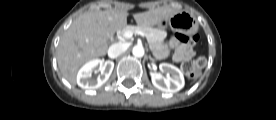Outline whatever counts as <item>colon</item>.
Segmentation results:
<instances>
[{
  "label": "colon",
  "mask_w": 276,
  "mask_h": 120,
  "mask_svg": "<svg viewBox=\"0 0 276 120\" xmlns=\"http://www.w3.org/2000/svg\"><path fill=\"white\" fill-rule=\"evenodd\" d=\"M199 36H186L184 34H175L170 40V46L176 51H178L182 46L187 44H193L198 40ZM205 64V59L202 56L191 57L185 56L181 59V70L188 77H195L201 71Z\"/></svg>",
  "instance_id": "5ec220e1"
}]
</instances>
